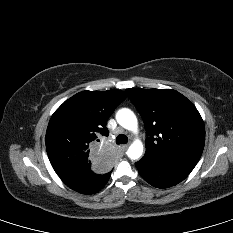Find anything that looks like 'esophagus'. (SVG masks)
Segmentation results:
<instances>
[{
  "label": "esophagus",
  "mask_w": 233,
  "mask_h": 233,
  "mask_svg": "<svg viewBox=\"0 0 233 233\" xmlns=\"http://www.w3.org/2000/svg\"><path fill=\"white\" fill-rule=\"evenodd\" d=\"M128 144H125V145H122L121 147H120V149L122 150V151H126L127 149H128Z\"/></svg>",
  "instance_id": "1"
}]
</instances>
